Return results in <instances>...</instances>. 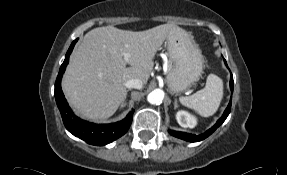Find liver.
<instances>
[{
    "mask_svg": "<svg viewBox=\"0 0 287 175\" xmlns=\"http://www.w3.org/2000/svg\"><path fill=\"white\" fill-rule=\"evenodd\" d=\"M175 30L181 28L163 24L139 32L106 26L86 33L62 80L69 104L86 119L112 116L127 95L125 82L140 79L147 83L158 49Z\"/></svg>",
    "mask_w": 287,
    "mask_h": 175,
    "instance_id": "obj_1",
    "label": "liver"
}]
</instances>
